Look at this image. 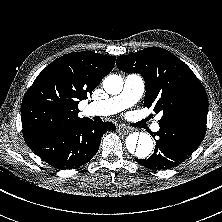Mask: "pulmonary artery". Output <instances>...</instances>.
<instances>
[{"label":"pulmonary artery","instance_id":"1","mask_svg":"<svg viewBox=\"0 0 222 222\" xmlns=\"http://www.w3.org/2000/svg\"><path fill=\"white\" fill-rule=\"evenodd\" d=\"M144 92V80L141 76L130 74L125 78L123 90L120 94L101 101L91 102L86 107L88 115L107 116L116 114L133 106ZM156 123L152 126L154 131L159 130Z\"/></svg>","mask_w":222,"mask_h":222}]
</instances>
